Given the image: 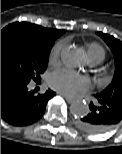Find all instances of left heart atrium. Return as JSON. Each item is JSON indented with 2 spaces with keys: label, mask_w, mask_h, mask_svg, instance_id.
Returning a JSON list of instances; mask_svg holds the SVG:
<instances>
[{
  "label": "left heart atrium",
  "mask_w": 122,
  "mask_h": 154,
  "mask_svg": "<svg viewBox=\"0 0 122 154\" xmlns=\"http://www.w3.org/2000/svg\"><path fill=\"white\" fill-rule=\"evenodd\" d=\"M49 85L59 93L73 96L87 91L90 87V82L87 78L70 70L60 69L50 75Z\"/></svg>",
  "instance_id": "obj_1"
}]
</instances>
